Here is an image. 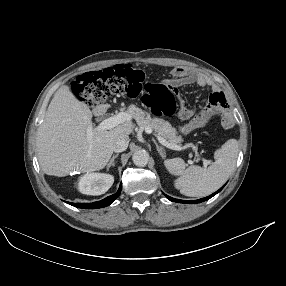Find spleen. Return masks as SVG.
Wrapping results in <instances>:
<instances>
[{
  "instance_id": "spleen-1",
  "label": "spleen",
  "mask_w": 286,
  "mask_h": 286,
  "mask_svg": "<svg viewBox=\"0 0 286 286\" xmlns=\"http://www.w3.org/2000/svg\"><path fill=\"white\" fill-rule=\"evenodd\" d=\"M238 154L235 139H229L221 149L215 152V163L204 169L200 166L186 168L181 158L167 159L164 165L169 173L180 176L175 180V188L189 197H201L220 188L232 174Z\"/></svg>"
}]
</instances>
